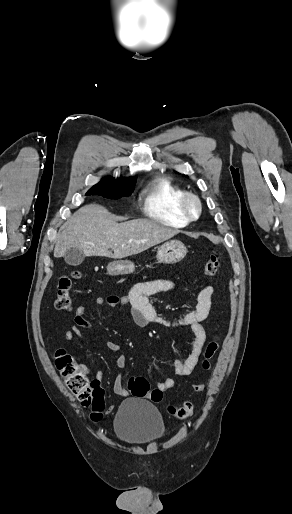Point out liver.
<instances>
[{
    "mask_svg": "<svg viewBox=\"0 0 292 514\" xmlns=\"http://www.w3.org/2000/svg\"><path fill=\"white\" fill-rule=\"evenodd\" d=\"M176 234L179 230L145 218L117 224L106 208L89 204L77 210L60 228L54 258H62L68 248H80L85 256L127 258L170 240Z\"/></svg>",
    "mask_w": 292,
    "mask_h": 514,
    "instance_id": "obj_1",
    "label": "liver"
}]
</instances>
